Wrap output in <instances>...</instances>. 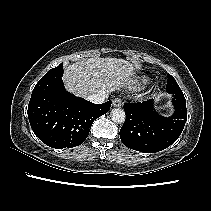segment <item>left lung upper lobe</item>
Segmentation results:
<instances>
[{
  "mask_svg": "<svg viewBox=\"0 0 211 211\" xmlns=\"http://www.w3.org/2000/svg\"><path fill=\"white\" fill-rule=\"evenodd\" d=\"M166 91L168 93H173L176 91H181L180 87L178 86L176 80L168 74V81H167V85H166Z\"/></svg>",
  "mask_w": 211,
  "mask_h": 211,
  "instance_id": "left-lung-upper-lobe-1",
  "label": "left lung upper lobe"
}]
</instances>
